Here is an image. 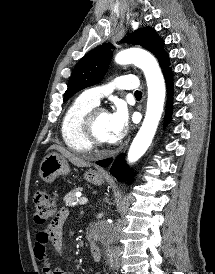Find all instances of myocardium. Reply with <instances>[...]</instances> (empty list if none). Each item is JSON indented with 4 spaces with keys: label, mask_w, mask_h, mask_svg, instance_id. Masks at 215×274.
I'll list each match as a JSON object with an SVG mask.
<instances>
[{
    "label": "myocardium",
    "mask_w": 215,
    "mask_h": 274,
    "mask_svg": "<svg viewBox=\"0 0 215 274\" xmlns=\"http://www.w3.org/2000/svg\"><path fill=\"white\" fill-rule=\"evenodd\" d=\"M105 111L101 107L95 106L84 116L82 121V131L85 139L91 145V147H104L109 142L101 140L95 131V122L98 114Z\"/></svg>",
    "instance_id": "f54148a6"
}]
</instances>
